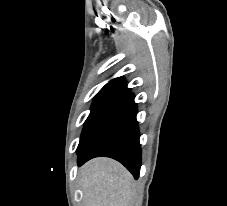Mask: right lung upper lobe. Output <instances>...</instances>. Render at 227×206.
Instances as JSON below:
<instances>
[{"mask_svg": "<svg viewBox=\"0 0 227 206\" xmlns=\"http://www.w3.org/2000/svg\"><path fill=\"white\" fill-rule=\"evenodd\" d=\"M125 80L123 77H118L110 81V83H124Z\"/></svg>", "mask_w": 227, "mask_h": 206, "instance_id": "1", "label": "right lung upper lobe"}]
</instances>
